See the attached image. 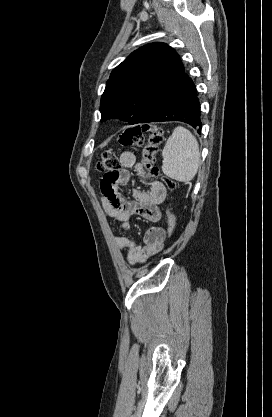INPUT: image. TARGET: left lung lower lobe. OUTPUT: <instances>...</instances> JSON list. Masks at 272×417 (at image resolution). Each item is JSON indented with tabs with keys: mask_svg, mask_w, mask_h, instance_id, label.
<instances>
[{
	"mask_svg": "<svg viewBox=\"0 0 272 417\" xmlns=\"http://www.w3.org/2000/svg\"><path fill=\"white\" fill-rule=\"evenodd\" d=\"M161 121H182L201 133L200 103L196 86L185 72L141 123Z\"/></svg>",
	"mask_w": 272,
	"mask_h": 417,
	"instance_id": "1",
	"label": "left lung lower lobe"
}]
</instances>
